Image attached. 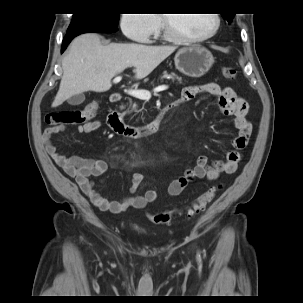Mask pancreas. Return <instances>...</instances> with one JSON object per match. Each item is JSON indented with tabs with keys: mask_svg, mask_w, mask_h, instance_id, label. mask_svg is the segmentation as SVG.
<instances>
[{
	"mask_svg": "<svg viewBox=\"0 0 303 303\" xmlns=\"http://www.w3.org/2000/svg\"><path fill=\"white\" fill-rule=\"evenodd\" d=\"M164 76H167L168 74L166 72L163 73ZM170 76L172 77V80L175 81L177 80L179 83H182V78L179 77L177 74L175 73H171ZM129 108L128 110L125 112V113H131V112H138L137 110V104L136 103H133L132 100L130 99L129 100Z\"/></svg>",
	"mask_w": 303,
	"mask_h": 303,
	"instance_id": "1",
	"label": "pancreas"
}]
</instances>
